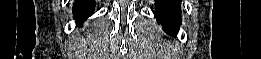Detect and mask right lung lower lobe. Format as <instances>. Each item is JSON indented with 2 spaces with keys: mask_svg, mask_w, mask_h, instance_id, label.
Wrapping results in <instances>:
<instances>
[{
  "mask_svg": "<svg viewBox=\"0 0 261 59\" xmlns=\"http://www.w3.org/2000/svg\"><path fill=\"white\" fill-rule=\"evenodd\" d=\"M95 1L94 0H76L73 5V12L76 22L82 23L91 16L94 11Z\"/></svg>",
  "mask_w": 261,
  "mask_h": 59,
  "instance_id": "obj_1",
  "label": "right lung lower lobe"
}]
</instances>
